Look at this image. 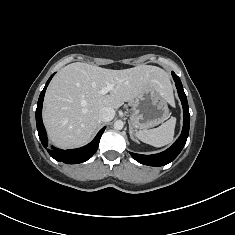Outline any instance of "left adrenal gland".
<instances>
[{
    "label": "left adrenal gland",
    "instance_id": "a2214340",
    "mask_svg": "<svg viewBox=\"0 0 235 235\" xmlns=\"http://www.w3.org/2000/svg\"><path fill=\"white\" fill-rule=\"evenodd\" d=\"M129 134H130V138L134 140V137H133V129H132V126L129 122Z\"/></svg>",
    "mask_w": 235,
    "mask_h": 235
}]
</instances>
